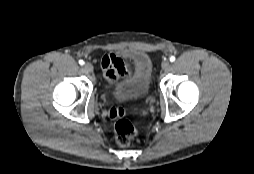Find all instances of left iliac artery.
I'll return each mask as SVG.
<instances>
[{
	"label": "left iliac artery",
	"instance_id": "left-iliac-artery-1",
	"mask_svg": "<svg viewBox=\"0 0 254 174\" xmlns=\"http://www.w3.org/2000/svg\"><path fill=\"white\" fill-rule=\"evenodd\" d=\"M175 59H176L175 56H171V57H170V61H171V62H174Z\"/></svg>",
	"mask_w": 254,
	"mask_h": 174
}]
</instances>
